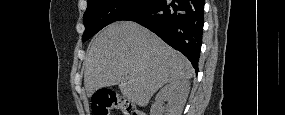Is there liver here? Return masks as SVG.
Returning a JSON list of instances; mask_svg holds the SVG:
<instances>
[{"label": "liver", "mask_w": 285, "mask_h": 115, "mask_svg": "<svg viewBox=\"0 0 285 115\" xmlns=\"http://www.w3.org/2000/svg\"><path fill=\"white\" fill-rule=\"evenodd\" d=\"M88 96L101 87L118 85L124 97L146 106L164 84L187 80L194 69L148 29L131 21L108 25L89 44L84 61Z\"/></svg>", "instance_id": "6515ba94"}]
</instances>
